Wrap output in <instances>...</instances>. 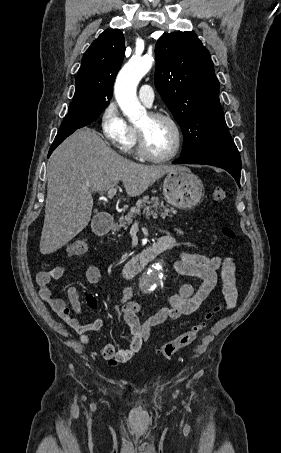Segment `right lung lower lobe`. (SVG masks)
<instances>
[{
  "instance_id": "obj_1",
  "label": "right lung lower lobe",
  "mask_w": 281,
  "mask_h": 453,
  "mask_svg": "<svg viewBox=\"0 0 281 453\" xmlns=\"http://www.w3.org/2000/svg\"><path fill=\"white\" fill-rule=\"evenodd\" d=\"M103 109L104 108H97L91 105L69 107L68 114L62 121L58 134L50 147L48 157L51 155L52 151L75 130L94 121Z\"/></svg>"
}]
</instances>
